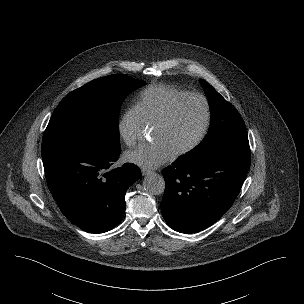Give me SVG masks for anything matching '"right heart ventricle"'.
Segmentation results:
<instances>
[{
  "label": "right heart ventricle",
  "instance_id": "1",
  "mask_svg": "<svg viewBox=\"0 0 304 304\" xmlns=\"http://www.w3.org/2000/svg\"><path fill=\"white\" fill-rule=\"evenodd\" d=\"M188 92L175 86L154 84L142 90L135 102L147 126H154L168 107Z\"/></svg>",
  "mask_w": 304,
  "mask_h": 304
}]
</instances>
